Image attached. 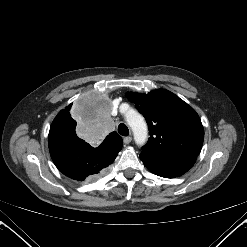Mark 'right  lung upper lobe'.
<instances>
[{
  "mask_svg": "<svg viewBox=\"0 0 247 247\" xmlns=\"http://www.w3.org/2000/svg\"><path fill=\"white\" fill-rule=\"evenodd\" d=\"M71 104L67 106L64 110H61L59 114L54 119L51 127H58V123L61 119L67 117ZM59 128V127H58ZM102 146H109L113 150L120 151L122 148V138L114 131L110 133L105 140L101 143Z\"/></svg>",
  "mask_w": 247,
  "mask_h": 247,
  "instance_id": "1",
  "label": "right lung upper lobe"
}]
</instances>
